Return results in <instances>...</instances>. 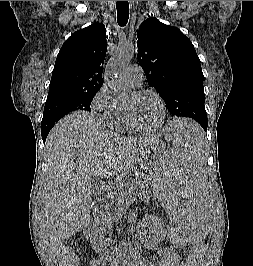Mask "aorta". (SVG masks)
Masks as SVG:
<instances>
[{
	"label": "aorta",
	"instance_id": "762f6f07",
	"mask_svg": "<svg viewBox=\"0 0 253 266\" xmlns=\"http://www.w3.org/2000/svg\"><path fill=\"white\" fill-rule=\"evenodd\" d=\"M134 53L135 47L131 44L119 46L105 68L104 79L118 98L127 97L131 91L124 76V69L133 58Z\"/></svg>",
	"mask_w": 253,
	"mask_h": 266
}]
</instances>
